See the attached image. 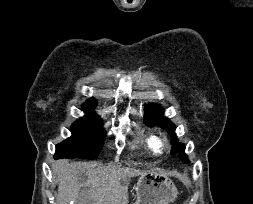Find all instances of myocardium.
Masks as SVG:
<instances>
[{
    "label": "myocardium",
    "mask_w": 253,
    "mask_h": 204,
    "mask_svg": "<svg viewBox=\"0 0 253 204\" xmlns=\"http://www.w3.org/2000/svg\"><path fill=\"white\" fill-rule=\"evenodd\" d=\"M161 144L165 147V148H168L170 146V143L168 141L167 138H163L162 141H161Z\"/></svg>",
    "instance_id": "f54148a6"
}]
</instances>
